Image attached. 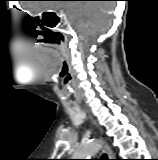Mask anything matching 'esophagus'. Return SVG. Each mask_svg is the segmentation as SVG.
Wrapping results in <instances>:
<instances>
[{
    "label": "esophagus",
    "instance_id": "obj_1",
    "mask_svg": "<svg viewBox=\"0 0 158 160\" xmlns=\"http://www.w3.org/2000/svg\"><path fill=\"white\" fill-rule=\"evenodd\" d=\"M103 152H105V153L107 154V156H108V158H109L110 160L113 159L112 150H111V148H110L107 144L104 145V147H103Z\"/></svg>",
    "mask_w": 158,
    "mask_h": 160
}]
</instances>
